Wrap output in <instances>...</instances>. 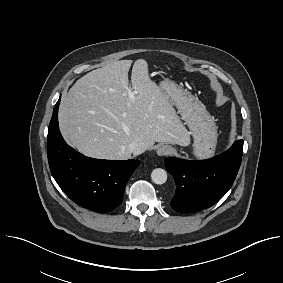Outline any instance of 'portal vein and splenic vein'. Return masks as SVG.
I'll list each match as a JSON object with an SVG mask.
<instances>
[{
    "label": "portal vein and splenic vein",
    "instance_id": "1",
    "mask_svg": "<svg viewBox=\"0 0 283 283\" xmlns=\"http://www.w3.org/2000/svg\"><path fill=\"white\" fill-rule=\"evenodd\" d=\"M135 94H136L135 91H131V90L128 91V95H129L130 99H132V100H134Z\"/></svg>",
    "mask_w": 283,
    "mask_h": 283
}]
</instances>
